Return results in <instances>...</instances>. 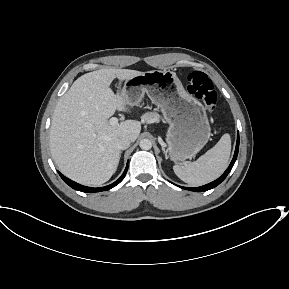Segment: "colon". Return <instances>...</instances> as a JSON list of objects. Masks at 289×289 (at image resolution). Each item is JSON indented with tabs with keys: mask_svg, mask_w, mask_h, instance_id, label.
<instances>
[{
	"mask_svg": "<svg viewBox=\"0 0 289 289\" xmlns=\"http://www.w3.org/2000/svg\"><path fill=\"white\" fill-rule=\"evenodd\" d=\"M187 91L195 97L203 100L208 112H213L217 104V93L212 81L200 71L191 72L187 76Z\"/></svg>",
	"mask_w": 289,
	"mask_h": 289,
	"instance_id": "1",
	"label": "colon"
}]
</instances>
